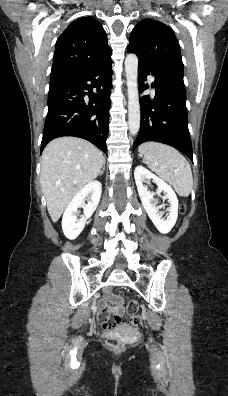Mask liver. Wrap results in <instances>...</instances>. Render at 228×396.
Returning a JSON list of instances; mask_svg holds the SVG:
<instances>
[{"mask_svg": "<svg viewBox=\"0 0 228 396\" xmlns=\"http://www.w3.org/2000/svg\"><path fill=\"white\" fill-rule=\"evenodd\" d=\"M104 164L102 152L81 138H57L45 147L40 184L53 222L59 220L73 197L98 176Z\"/></svg>", "mask_w": 228, "mask_h": 396, "instance_id": "obj_1", "label": "liver"}]
</instances>
